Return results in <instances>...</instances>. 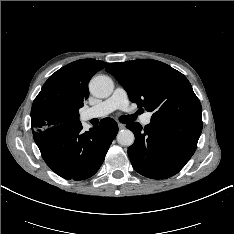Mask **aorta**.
I'll use <instances>...</instances> for the list:
<instances>
[{
    "instance_id": "1",
    "label": "aorta",
    "mask_w": 234,
    "mask_h": 234,
    "mask_svg": "<svg viewBox=\"0 0 234 234\" xmlns=\"http://www.w3.org/2000/svg\"><path fill=\"white\" fill-rule=\"evenodd\" d=\"M90 92L98 98L109 97L114 89V84L111 78L104 75L94 77L90 81ZM134 134L128 129H123L117 134V141L122 146H131L134 143Z\"/></svg>"
}]
</instances>
